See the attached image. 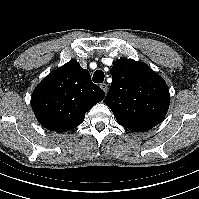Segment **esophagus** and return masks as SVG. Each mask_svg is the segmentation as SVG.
<instances>
[{
  "label": "esophagus",
  "mask_w": 199,
  "mask_h": 199,
  "mask_svg": "<svg viewBox=\"0 0 199 199\" xmlns=\"http://www.w3.org/2000/svg\"><path fill=\"white\" fill-rule=\"evenodd\" d=\"M100 87L104 90V92L106 93L108 90V85L106 83H102L100 84Z\"/></svg>",
  "instance_id": "1"
}]
</instances>
